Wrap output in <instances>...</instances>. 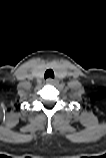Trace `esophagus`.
I'll return each mask as SVG.
<instances>
[{
  "mask_svg": "<svg viewBox=\"0 0 106 158\" xmlns=\"http://www.w3.org/2000/svg\"><path fill=\"white\" fill-rule=\"evenodd\" d=\"M57 80L56 79H54V78H47V80H46V82L48 83V84H54L55 82H56Z\"/></svg>",
  "mask_w": 106,
  "mask_h": 158,
  "instance_id": "esophagus-1",
  "label": "esophagus"
}]
</instances>
